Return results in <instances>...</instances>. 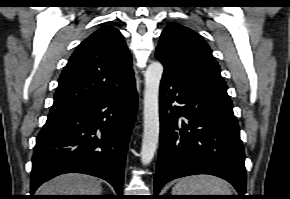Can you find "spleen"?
<instances>
[{"instance_id":"3e777b00","label":"spleen","mask_w":290,"mask_h":199,"mask_svg":"<svg viewBox=\"0 0 290 199\" xmlns=\"http://www.w3.org/2000/svg\"><path fill=\"white\" fill-rule=\"evenodd\" d=\"M172 195H232L229 184L215 176L195 175L180 179Z\"/></svg>"}]
</instances>
